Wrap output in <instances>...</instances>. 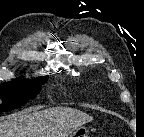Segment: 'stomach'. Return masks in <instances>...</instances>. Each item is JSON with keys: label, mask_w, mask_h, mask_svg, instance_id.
Instances as JSON below:
<instances>
[{"label": "stomach", "mask_w": 144, "mask_h": 137, "mask_svg": "<svg viewBox=\"0 0 144 137\" xmlns=\"http://www.w3.org/2000/svg\"><path fill=\"white\" fill-rule=\"evenodd\" d=\"M90 130L88 127L81 126L70 134V137H89Z\"/></svg>", "instance_id": "stomach-1"}]
</instances>
